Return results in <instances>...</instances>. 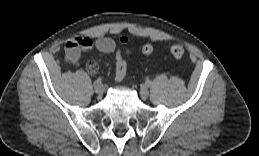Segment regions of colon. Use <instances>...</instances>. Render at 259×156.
<instances>
[{
    "label": "colon",
    "mask_w": 259,
    "mask_h": 156,
    "mask_svg": "<svg viewBox=\"0 0 259 156\" xmlns=\"http://www.w3.org/2000/svg\"><path fill=\"white\" fill-rule=\"evenodd\" d=\"M123 44L127 43V38H121ZM154 50L151 43H146L142 46V53L144 55H150ZM169 53L175 58H181L184 54V48L180 44H171L169 46ZM127 73V64L123 58L122 52L119 51L115 58V79L116 81H122Z\"/></svg>",
    "instance_id": "obj_1"
}]
</instances>
